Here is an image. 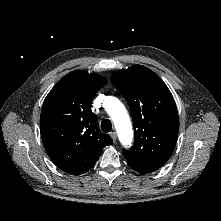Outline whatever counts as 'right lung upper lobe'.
Returning a JSON list of instances; mask_svg holds the SVG:
<instances>
[{"mask_svg":"<svg viewBox=\"0 0 221 221\" xmlns=\"http://www.w3.org/2000/svg\"><path fill=\"white\" fill-rule=\"evenodd\" d=\"M106 78L81 70L72 71L51 89L40 115L43 145L63 171L79 175L97 161L112 138L102 133L90 105Z\"/></svg>","mask_w":221,"mask_h":221,"instance_id":"cb5924a9","label":"right lung upper lobe"}]
</instances>
